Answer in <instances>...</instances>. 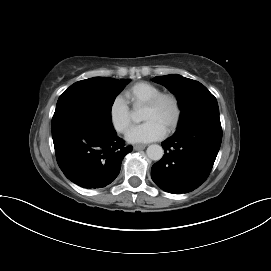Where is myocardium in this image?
I'll use <instances>...</instances> for the list:
<instances>
[{"label":"myocardium","instance_id":"1","mask_svg":"<svg viewBox=\"0 0 271 271\" xmlns=\"http://www.w3.org/2000/svg\"><path fill=\"white\" fill-rule=\"evenodd\" d=\"M164 99L170 100L172 102V104H173V107H174L173 120H172L171 124L169 125V127L166 130L167 133H172L178 127L180 119H181V115H182V109H181L180 101H179L178 97L174 93L160 92V93L156 94L155 96H153L152 98H150L143 105V107L148 108V109H153Z\"/></svg>","mask_w":271,"mask_h":271}]
</instances>
